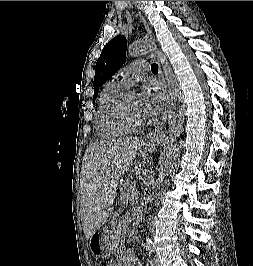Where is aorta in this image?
I'll return each mask as SVG.
<instances>
[{
    "label": "aorta",
    "instance_id": "762f6f07",
    "mask_svg": "<svg viewBox=\"0 0 253 266\" xmlns=\"http://www.w3.org/2000/svg\"><path fill=\"white\" fill-rule=\"evenodd\" d=\"M152 50H156V47L153 48L146 41H137L128 47V54L131 57H139ZM155 53L157 56L165 57V55L161 51H155ZM163 73L165 76V80L171 89L169 93L170 103L167 114L169 138L164 152L162 153V156L160 158L158 177L153 186L154 190H157L160 187L165 176L168 173L173 150V143L176 138L181 134L185 110V107L183 105V97L178 86L177 78L173 72V69L167 63L163 66ZM146 240L147 243L151 242L149 237H147Z\"/></svg>",
    "mask_w": 253,
    "mask_h": 266
}]
</instances>
